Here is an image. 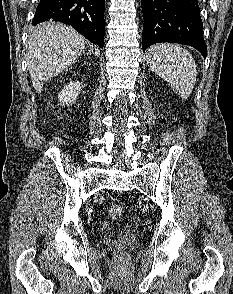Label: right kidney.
Listing matches in <instances>:
<instances>
[{"mask_svg":"<svg viewBox=\"0 0 233 294\" xmlns=\"http://www.w3.org/2000/svg\"><path fill=\"white\" fill-rule=\"evenodd\" d=\"M82 91V86L80 82H70L58 95L60 105H69L73 103L80 92Z\"/></svg>","mask_w":233,"mask_h":294,"instance_id":"right-kidney-1","label":"right kidney"}]
</instances>
